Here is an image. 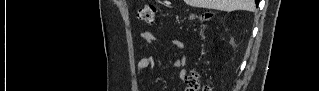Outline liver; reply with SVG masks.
Masks as SVG:
<instances>
[{
    "mask_svg": "<svg viewBox=\"0 0 319 91\" xmlns=\"http://www.w3.org/2000/svg\"><path fill=\"white\" fill-rule=\"evenodd\" d=\"M186 4L198 7L232 12L235 10H255L254 0H185Z\"/></svg>",
    "mask_w": 319,
    "mask_h": 91,
    "instance_id": "obj_1",
    "label": "liver"
}]
</instances>
